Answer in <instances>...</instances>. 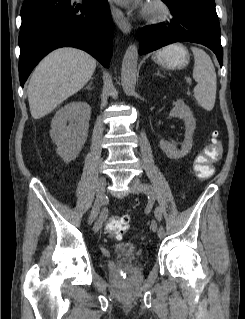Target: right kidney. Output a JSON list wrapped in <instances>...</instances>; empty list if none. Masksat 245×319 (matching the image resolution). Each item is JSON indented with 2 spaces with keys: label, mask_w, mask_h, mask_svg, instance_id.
Wrapping results in <instances>:
<instances>
[{
  "label": "right kidney",
  "mask_w": 245,
  "mask_h": 319,
  "mask_svg": "<svg viewBox=\"0 0 245 319\" xmlns=\"http://www.w3.org/2000/svg\"><path fill=\"white\" fill-rule=\"evenodd\" d=\"M90 116L88 103L74 101L59 109L52 119L50 136L57 145L56 153L65 162L79 155L87 140Z\"/></svg>",
  "instance_id": "obj_1"
}]
</instances>
